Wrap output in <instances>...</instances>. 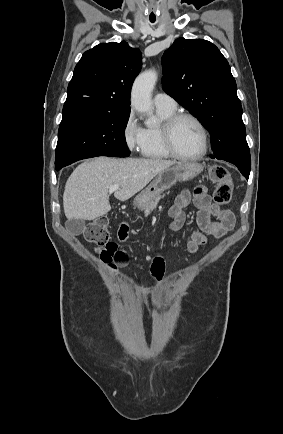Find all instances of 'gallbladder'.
<instances>
[{
    "label": "gallbladder",
    "mask_w": 283,
    "mask_h": 434,
    "mask_svg": "<svg viewBox=\"0 0 283 434\" xmlns=\"http://www.w3.org/2000/svg\"><path fill=\"white\" fill-rule=\"evenodd\" d=\"M67 228L74 235H80L85 230V221L72 219L67 222Z\"/></svg>",
    "instance_id": "gallbladder-1"
}]
</instances>
